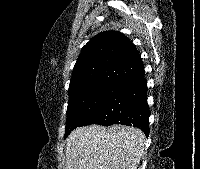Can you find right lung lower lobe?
Listing matches in <instances>:
<instances>
[{
	"mask_svg": "<svg viewBox=\"0 0 200 169\" xmlns=\"http://www.w3.org/2000/svg\"><path fill=\"white\" fill-rule=\"evenodd\" d=\"M144 72L116 84L108 98L80 126L123 124L149 135V115Z\"/></svg>",
	"mask_w": 200,
	"mask_h": 169,
	"instance_id": "obj_1",
	"label": "right lung lower lobe"
}]
</instances>
